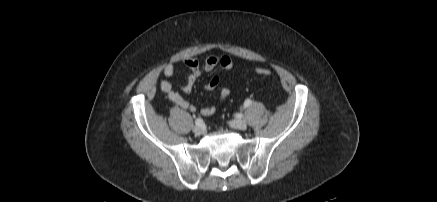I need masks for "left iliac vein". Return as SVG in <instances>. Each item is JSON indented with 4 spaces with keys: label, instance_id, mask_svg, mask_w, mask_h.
Here are the masks:
<instances>
[{
    "label": "left iliac vein",
    "instance_id": "1",
    "mask_svg": "<svg viewBox=\"0 0 437 202\" xmlns=\"http://www.w3.org/2000/svg\"><path fill=\"white\" fill-rule=\"evenodd\" d=\"M230 126L234 129H240V130H245L247 128V123L246 121L242 120V119H236L231 121Z\"/></svg>",
    "mask_w": 437,
    "mask_h": 202
}]
</instances>
